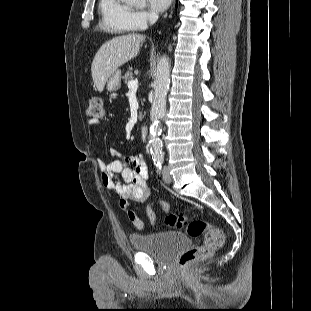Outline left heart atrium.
Returning <instances> with one entry per match:
<instances>
[{
  "mask_svg": "<svg viewBox=\"0 0 311 311\" xmlns=\"http://www.w3.org/2000/svg\"><path fill=\"white\" fill-rule=\"evenodd\" d=\"M171 3V0H148V4L152 10L161 12L165 10Z\"/></svg>",
  "mask_w": 311,
  "mask_h": 311,
  "instance_id": "left-heart-atrium-1",
  "label": "left heart atrium"
}]
</instances>
